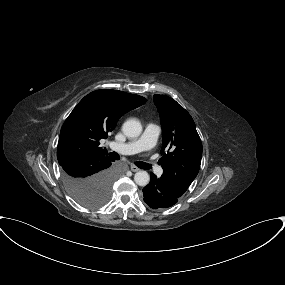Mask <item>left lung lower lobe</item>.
<instances>
[{
	"label": "left lung lower lobe",
	"instance_id": "1",
	"mask_svg": "<svg viewBox=\"0 0 285 285\" xmlns=\"http://www.w3.org/2000/svg\"><path fill=\"white\" fill-rule=\"evenodd\" d=\"M184 192L168 176L157 178L151 173L150 183L143 188L144 202L153 209L168 208L174 205Z\"/></svg>",
	"mask_w": 285,
	"mask_h": 285
}]
</instances>
